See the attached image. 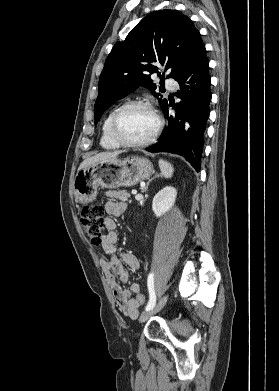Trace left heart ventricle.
<instances>
[{
	"instance_id": "left-heart-ventricle-1",
	"label": "left heart ventricle",
	"mask_w": 279,
	"mask_h": 391,
	"mask_svg": "<svg viewBox=\"0 0 279 391\" xmlns=\"http://www.w3.org/2000/svg\"><path fill=\"white\" fill-rule=\"evenodd\" d=\"M156 126V120L151 111L145 107H131L120 116L118 131L128 141L147 139Z\"/></svg>"
}]
</instances>
